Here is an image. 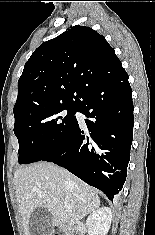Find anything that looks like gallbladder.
<instances>
[{"instance_id":"bac80fb5","label":"gallbladder","mask_w":155,"mask_h":235,"mask_svg":"<svg viewBox=\"0 0 155 235\" xmlns=\"http://www.w3.org/2000/svg\"><path fill=\"white\" fill-rule=\"evenodd\" d=\"M30 235H52V215L45 207H37L29 220Z\"/></svg>"}]
</instances>
